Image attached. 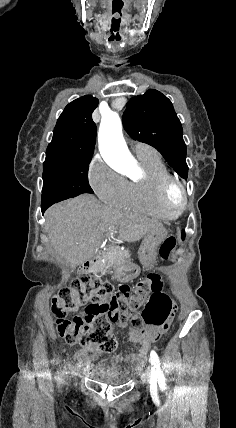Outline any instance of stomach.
<instances>
[{
  "label": "stomach",
  "mask_w": 236,
  "mask_h": 428,
  "mask_svg": "<svg viewBox=\"0 0 236 428\" xmlns=\"http://www.w3.org/2000/svg\"><path fill=\"white\" fill-rule=\"evenodd\" d=\"M166 230L162 226H156L152 232H148L145 236L139 250L138 258L140 260L143 269H154L156 266L155 260L157 258V248L161 242L166 238ZM115 276L119 283H123L124 286H129L130 282L134 279L140 278L139 267L135 266V263L126 262L116 267Z\"/></svg>",
  "instance_id": "0dacf381"
}]
</instances>
